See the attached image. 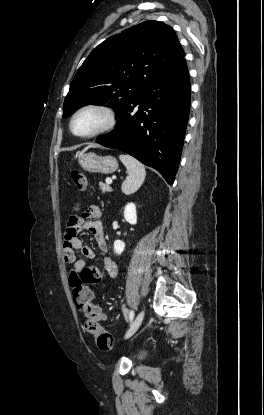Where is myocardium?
<instances>
[{
	"instance_id": "1",
	"label": "myocardium",
	"mask_w": 264,
	"mask_h": 415,
	"mask_svg": "<svg viewBox=\"0 0 264 415\" xmlns=\"http://www.w3.org/2000/svg\"><path fill=\"white\" fill-rule=\"evenodd\" d=\"M86 110L100 111L105 115L106 120H105L104 124L101 127H99L98 129L92 131L91 133L78 134L74 130V121L80 113H82ZM116 125H117V115H116L114 109L112 107L108 106V105L99 104V103H89V104L81 106L80 108H78L73 113V115L70 119V123H69V127H70L71 132L75 136L83 138V139H90V138H94V137L109 133L115 128Z\"/></svg>"
}]
</instances>
